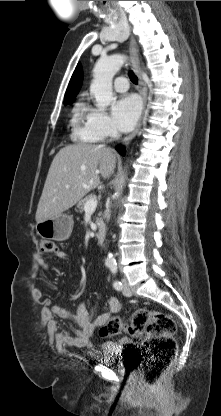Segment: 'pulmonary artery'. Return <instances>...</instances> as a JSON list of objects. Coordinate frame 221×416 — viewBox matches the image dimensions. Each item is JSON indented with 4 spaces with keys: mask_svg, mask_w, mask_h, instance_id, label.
<instances>
[{
    "mask_svg": "<svg viewBox=\"0 0 221 416\" xmlns=\"http://www.w3.org/2000/svg\"><path fill=\"white\" fill-rule=\"evenodd\" d=\"M113 88L115 91L123 93L128 90V80L123 77H117L113 82Z\"/></svg>",
    "mask_w": 221,
    "mask_h": 416,
    "instance_id": "e3ab8cb5",
    "label": "pulmonary artery"
}]
</instances>
